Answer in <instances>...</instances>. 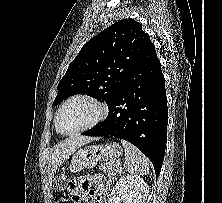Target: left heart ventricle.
<instances>
[{
    "mask_svg": "<svg viewBox=\"0 0 222 203\" xmlns=\"http://www.w3.org/2000/svg\"><path fill=\"white\" fill-rule=\"evenodd\" d=\"M98 108L85 100H77L68 104L59 119L60 128L73 131L91 123L98 115Z\"/></svg>",
    "mask_w": 222,
    "mask_h": 203,
    "instance_id": "obj_1",
    "label": "left heart ventricle"
}]
</instances>
